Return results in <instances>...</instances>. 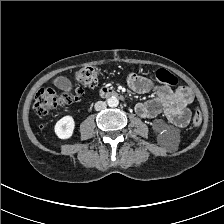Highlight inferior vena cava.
Returning a JSON list of instances; mask_svg holds the SVG:
<instances>
[{
	"label": "inferior vena cava",
	"instance_id": "1",
	"mask_svg": "<svg viewBox=\"0 0 224 224\" xmlns=\"http://www.w3.org/2000/svg\"><path fill=\"white\" fill-rule=\"evenodd\" d=\"M106 107H107V104L104 101H98V102L95 103V110L96 111L104 110V109H106Z\"/></svg>",
	"mask_w": 224,
	"mask_h": 224
}]
</instances>
